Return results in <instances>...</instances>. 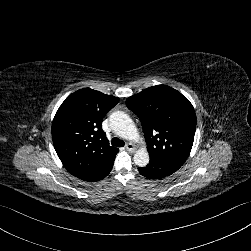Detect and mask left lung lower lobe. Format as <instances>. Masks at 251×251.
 Here are the masks:
<instances>
[{"label":"left lung lower lobe","instance_id":"left-lung-lower-lobe-1","mask_svg":"<svg viewBox=\"0 0 251 251\" xmlns=\"http://www.w3.org/2000/svg\"><path fill=\"white\" fill-rule=\"evenodd\" d=\"M182 165L150 156V162L145 167H139V173L149 179H162L176 172Z\"/></svg>","mask_w":251,"mask_h":251}]
</instances>
